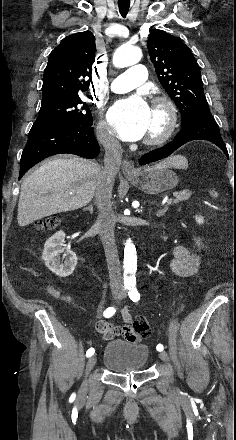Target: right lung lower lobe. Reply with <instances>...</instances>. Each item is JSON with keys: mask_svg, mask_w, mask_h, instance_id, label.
Here are the masks:
<instances>
[{"mask_svg": "<svg viewBox=\"0 0 236 440\" xmlns=\"http://www.w3.org/2000/svg\"><path fill=\"white\" fill-rule=\"evenodd\" d=\"M65 153L88 159L97 157L99 145L92 126L54 120L35 121L22 152L19 179L43 159Z\"/></svg>", "mask_w": 236, "mask_h": 440, "instance_id": "98d812e1", "label": "right lung lower lobe"}]
</instances>
